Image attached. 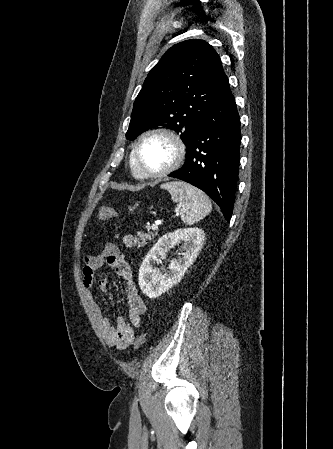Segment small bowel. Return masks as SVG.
<instances>
[{"label":"small bowel","mask_w":333,"mask_h":449,"mask_svg":"<svg viewBox=\"0 0 333 449\" xmlns=\"http://www.w3.org/2000/svg\"><path fill=\"white\" fill-rule=\"evenodd\" d=\"M107 264L115 274L126 283V297L128 303V319L118 316L115 324H112L104 315L100 305L94 298L92 288L96 271ZM110 280L102 278L98 281V287L102 292L109 289ZM83 287L86 300L96 321L102 336L110 346L123 350L135 342V329L140 327L142 316L146 311V305L139 295L133 281L130 265L125 261L118 247L113 243H107L97 255L87 256L84 259Z\"/></svg>","instance_id":"1"}]
</instances>
